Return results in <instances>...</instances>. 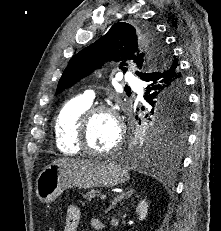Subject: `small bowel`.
Segmentation results:
<instances>
[{
	"label": "small bowel",
	"instance_id": "1",
	"mask_svg": "<svg viewBox=\"0 0 221 231\" xmlns=\"http://www.w3.org/2000/svg\"><path fill=\"white\" fill-rule=\"evenodd\" d=\"M80 209L77 205L72 204L67 208L66 219L63 231H77L80 221ZM91 227L96 231H104L105 225L100 219L93 218L90 222Z\"/></svg>",
	"mask_w": 221,
	"mask_h": 231
}]
</instances>
